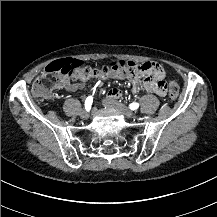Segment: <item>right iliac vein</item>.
Segmentation results:
<instances>
[{
    "label": "right iliac vein",
    "instance_id": "right-iliac-vein-1",
    "mask_svg": "<svg viewBox=\"0 0 217 217\" xmlns=\"http://www.w3.org/2000/svg\"><path fill=\"white\" fill-rule=\"evenodd\" d=\"M80 116H81V118H83V119H88L89 116H90L89 111L83 110V111L81 112Z\"/></svg>",
    "mask_w": 217,
    "mask_h": 217
}]
</instances>
